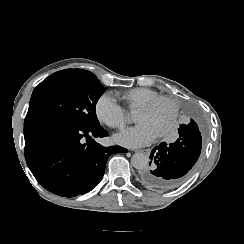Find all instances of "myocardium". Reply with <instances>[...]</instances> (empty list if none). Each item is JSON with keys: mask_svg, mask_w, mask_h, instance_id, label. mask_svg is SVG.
<instances>
[{"mask_svg": "<svg viewBox=\"0 0 244 244\" xmlns=\"http://www.w3.org/2000/svg\"><path fill=\"white\" fill-rule=\"evenodd\" d=\"M157 103H162L163 105H168L169 106V120H168V127L166 129V131L161 135V136H165L166 133L168 132V130L170 129L173 120H174V114H175V105L167 100V99H163L162 97H154L153 99H151L149 102H145L143 105L137 107L135 109V111L141 110V111H148L149 108H151L153 105L157 104Z\"/></svg>", "mask_w": 244, "mask_h": 244, "instance_id": "1", "label": "myocardium"}]
</instances>
